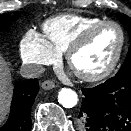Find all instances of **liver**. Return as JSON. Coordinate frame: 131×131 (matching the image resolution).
<instances>
[{"instance_id": "liver-1", "label": "liver", "mask_w": 131, "mask_h": 131, "mask_svg": "<svg viewBox=\"0 0 131 131\" xmlns=\"http://www.w3.org/2000/svg\"><path fill=\"white\" fill-rule=\"evenodd\" d=\"M11 100V74L8 64L0 55V122L4 119Z\"/></svg>"}]
</instances>
